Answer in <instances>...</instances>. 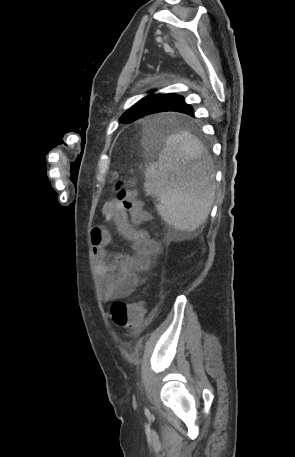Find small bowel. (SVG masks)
<instances>
[{"instance_id":"obj_1","label":"small bowel","mask_w":295,"mask_h":457,"mask_svg":"<svg viewBox=\"0 0 295 457\" xmlns=\"http://www.w3.org/2000/svg\"><path fill=\"white\" fill-rule=\"evenodd\" d=\"M102 215L112 222L118 232L131 242L132 254L111 253L107 247L111 234L104 226L91 231V242L97 274L101 279L102 295L105 301L129 296L141 284L140 274L148 271L154 258L159 254L160 244L147 231L138 229L128 221L127 212L117 199L107 201Z\"/></svg>"}]
</instances>
